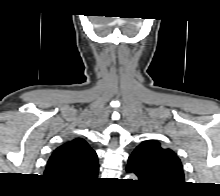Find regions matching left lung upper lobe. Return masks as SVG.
I'll use <instances>...</instances> for the list:
<instances>
[{"label":"left lung upper lobe","instance_id":"obj_1","mask_svg":"<svg viewBox=\"0 0 220 196\" xmlns=\"http://www.w3.org/2000/svg\"><path fill=\"white\" fill-rule=\"evenodd\" d=\"M140 180L156 190H169L184 183L183 167L176 153L162 148L156 140H147L129 157Z\"/></svg>","mask_w":220,"mask_h":196}]
</instances>
